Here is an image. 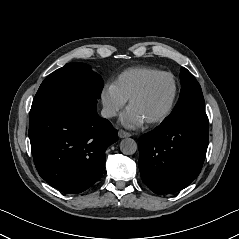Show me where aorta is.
<instances>
[{
	"label": "aorta",
	"instance_id": "1",
	"mask_svg": "<svg viewBox=\"0 0 239 239\" xmlns=\"http://www.w3.org/2000/svg\"><path fill=\"white\" fill-rule=\"evenodd\" d=\"M138 149L136 141L132 138H125L120 142V150L125 155H132Z\"/></svg>",
	"mask_w": 239,
	"mask_h": 239
}]
</instances>
